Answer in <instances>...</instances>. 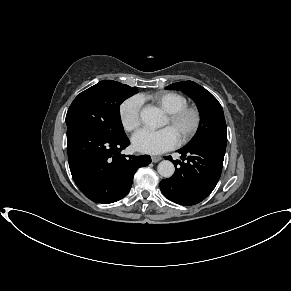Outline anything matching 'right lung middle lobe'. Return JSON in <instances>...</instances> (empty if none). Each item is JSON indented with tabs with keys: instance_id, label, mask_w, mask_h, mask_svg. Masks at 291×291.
Here are the masks:
<instances>
[{
	"instance_id": "right-lung-middle-lobe-1",
	"label": "right lung middle lobe",
	"mask_w": 291,
	"mask_h": 291,
	"mask_svg": "<svg viewBox=\"0 0 291 291\" xmlns=\"http://www.w3.org/2000/svg\"><path fill=\"white\" fill-rule=\"evenodd\" d=\"M138 92L137 87L103 80L81 92L70 105L66 124L107 137L125 135L120 119V104Z\"/></svg>"
}]
</instances>
